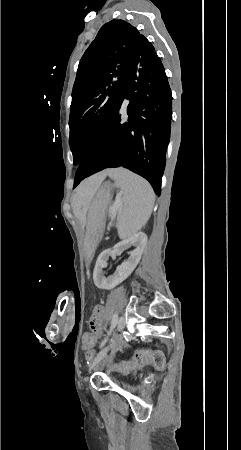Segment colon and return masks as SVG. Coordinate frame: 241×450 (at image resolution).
I'll list each match as a JSON object with an SVG mask.
<instances>
[{
    "mask_svg": "<svg viewBox=\"0 0 241 450\" xmlns=\"http://www.w3.org/2000/svg\"><path fill=\"white\" fill-rule=\"evenodd\" d=\"M95 339V332L94 331H85L84 336L82 338L83 345H92ZM85 360L86 362H91L92 358L91 356H98V351H86L85 352ZM168 352L165 349L160 350V352L154 351H146V352H138L137 355H135L134 360L130 361L129 363L123 364L121 366H117V369H121L123 371H129L131 369L141 367L145 363H154L155 368L159 371H161L164 368L165 362L164 358L167 357Z\"/></svg>",
    "mask_w": 241,
    "mask_h": 450,
    "instance_id": "5ec220e1",
    "label": "colon"
}]
</instances>
